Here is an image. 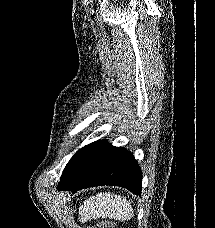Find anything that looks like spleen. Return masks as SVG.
Listing matches in <instances>:
<instances>
[{"label": "spleen", "instance_id": "3e777b00", "mask_svg": "<svg viewBox=\"0 0 215 228\" xmlns=\"http://www.w3.org/2000/svg\"><path fill=\"white\" fill-rule=\"evenodd\" d=\"M133 208L126 198L111 194V192H102L96 194L87 200L84 204V210L81 212L82 218L87 220H97V218H111V220H119L126 222L133 218Z\"/></svg>", "mask_w": 215, "mask_h": 228}]
</instances>
